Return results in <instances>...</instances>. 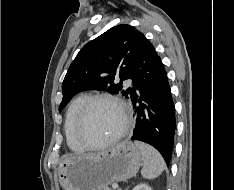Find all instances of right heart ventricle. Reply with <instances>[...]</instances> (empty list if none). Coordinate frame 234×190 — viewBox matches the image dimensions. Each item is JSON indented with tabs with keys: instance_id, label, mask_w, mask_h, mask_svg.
Wrapping results in <instances>:
<instances>
[{
	"instance_id": "e07e8e85",
	"label": "right heart ventricle",
	"mask_w": 234,
	"mask_h": 190,
	"mask_svg": "<svg viewBox=\"0 0 234 190\" xmlns=\"http://www.w3.org/2000/svg\"><path fill=\"white\" fill-rule=\"evenodd\" d=\"M88 96L80 95L76 97L68 107L65 123H64V132L66 136V141L69 148L75 152H82L86 148L76 139L74 129L75 122L78 115V112L83 105L84 101Z\"/></svg>"
}]
</instances>
